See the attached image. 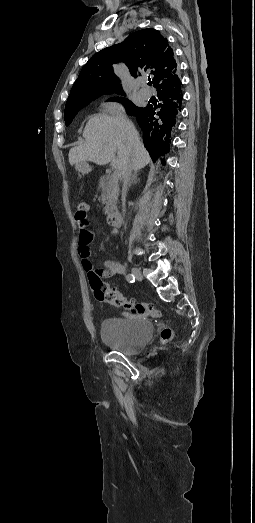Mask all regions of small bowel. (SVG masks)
<instances>
[{
    "mask_svg": "<svg viewBox=\"0 0 255 523\" xmlns=\"http://www.w3.org/2000/svg\"><path fill=\"white\" fill-rule=\"evenodd\" d=\"M79 246L77 249L78 256L81 260L82 266L87 272H96L100 277L110 278L117 274H123L125 267L118 261L105 260L104 267L99 270H94L90 260V244L93 240V232L88 228V225H79Z\"/></svg>",
    "mask_w": 255,
    "mask_h": 523,
    "instance_id": "obj_1",
    "label": "small bowel"
}]
</instances>
